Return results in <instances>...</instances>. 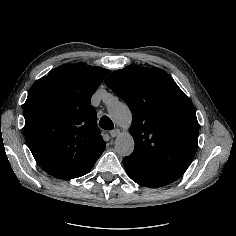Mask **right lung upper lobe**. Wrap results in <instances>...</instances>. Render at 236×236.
<instances>
[{"label":"right lung upper lobe","instance_id":"1","mask_svg":"<svg viewBox=\"0 0 236 236\" xmlns=\"http://www.w3.org/2000/svg\"><path fill=\"white\" fill-rule=\"evenodd\" d=\"M108 70L85 64L54 68L24 104L25 138L42 169L64 180L82 176L103 153L91 96Z\"/></svg>","mask_w":236,"mask_h":236}]
</instances>
